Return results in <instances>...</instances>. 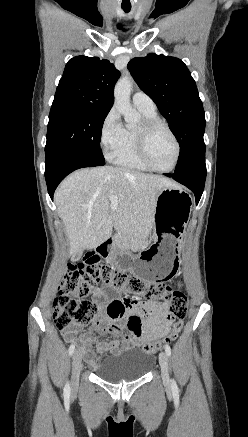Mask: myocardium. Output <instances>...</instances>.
I'll return each mask as SVG.
<instances>
[{"instance_id":"myocardium-1","label":"myocardium","mask_w":248,"mask_h":437,"mask_svg":"<svg viewBox=\"0 0 248 437\" xmlns=\"http://www.w3.org/2000/svg\"><path fill=\"white\" fill-rule=\"evenodd\" d=\"M158 128H164L172 137L174 143H175V147H176V152H175V158L173 161V164L171 165V167H169L168 169H159L157 167H155L152 162L149 159L148 156V141L149 138L151 136V134ZM136 148H137V153L138 156L140 158V160L142 161V163L149 169L155 172H159V173H169L171 171H173L179 161L180 158V154H181V145L180 142L176 136V134L173 132V130L170 128V126L162 121L161 119H147V120H143V122L136 128Z\"/></svg>"}]
</instances>
